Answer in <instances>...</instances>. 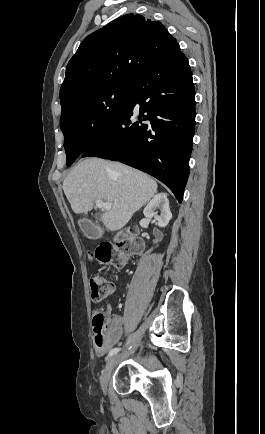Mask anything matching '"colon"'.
<instances>
[{
	"instance_id": "5ec220e1",
	"label": "colon",
	"mask_w": 265,
	"mask_h": 434,
	"mask_svg": "<svg viewBox=\"0 0 265 434\" xmlns=\"http://www.w3.org/2000/svg\"><path fill=\"white\" fill-rule=\"evenodd\" d=\"M89 260L99 262L103 265L111 264L116 270L122 268L124 264V256L121 253L113 255L110 246L103 247L98 252H91ZM90 298L93 303H101L102 301L113 296L115 292V284L102 276H92L89 280ZM93 325L90 329L92 335H96L97 345L103 346V334L107 328L106 317L99 309L93 312L91 317Z\"/></svg>"
}]
</instances>
